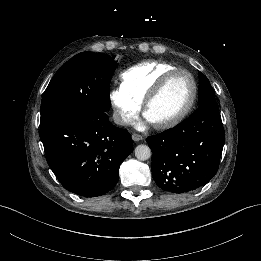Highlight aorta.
<instances>
[{
  "mask_svg": "<svg viewBox=\"0 0 261 261\" xmlns=\"http://www.w3.org/2000/svg\"><path fill=\"white\" fill-rule=\"evenodd\" d=\"M135 157L140 161L148 160L151 157V150L147 145L141 144L135 148Z\"/></svg>",
  "mask_w": 261,
  "mask_h": 261,
  "instance_id": "obj_1",
  "label": "aorta"
}]
</instances>
